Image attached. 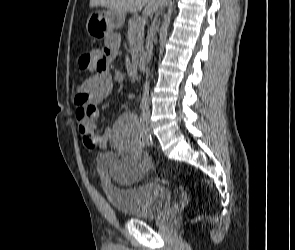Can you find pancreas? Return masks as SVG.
<instances>
[{
    "label": "pancreas",
    "instance_id": "1",
    "mask_svg": "<svg viewBox=\"0 0 295 250\" xmlns=\"http://www.w3.org/2000/svg\"><path fill=\"white\" fill-rule=\"evenodd\" d=\"M140 17L134 16L128 21L129 31H134L137 34V49L143 51V39H144V25H137Z\"/></svg>",
    "mask_w": 295,
    "mask_h": 250
}]
</instances>
